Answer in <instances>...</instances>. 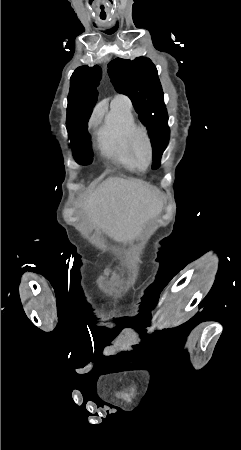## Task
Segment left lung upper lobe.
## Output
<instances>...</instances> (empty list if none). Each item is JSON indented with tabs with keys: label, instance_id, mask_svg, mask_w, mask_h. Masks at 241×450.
Returning a JSON list of instances; mask_svg holds the SVG:
<instances>
[{
	"label": "left lung upper lobe",
	"instance_id": "1",
	"mask_svg": "<svg viewBox=\"0 0 241 450\" xmlns=\"http://www.w3.org/2000/svg\"><path fill=\"white\" fill-rule=\"evenodd\" d=\"M108 74L115 89L127 95L148 127L153 148V165L157 168L169 138L168 116L158 72L149 58H117L108 64Z\"/></svg>",
	"mask_w": 241,
	"mask_h": 450
}]
</instances>
